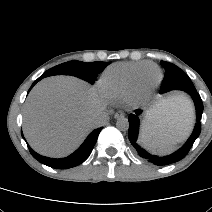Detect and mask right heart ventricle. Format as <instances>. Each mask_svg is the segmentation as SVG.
<instances>
[{"label": "right heart ventricle", "mask_w": 212, "mask_h": 212, "mask_svg": "<svg viewBox=\"0 0 212 212\" xmlns=\"http://www.w3.org/2000/svg\"><path fill=\"white\" fill-rule=\"evenodd\" d=\"M143 68L154 69L150 62H121L106 68L99 78L102 93L111 101L127 100L137 72Z\"/></svg>", "instance_id": "1"}]
</instances>
